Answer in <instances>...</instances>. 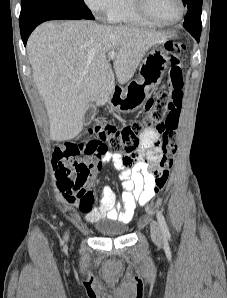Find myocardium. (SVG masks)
<instances>
[{
    "instance_id": "obj_1",
    "label": "myocardium",
    "mask_w": 227,
    "mask_h": 298,
    "mask_svg": "<svg viewBox=\"0 0 227 298\" xmlns=\"http://www.w3.org/2000/svg\"><path fill=\"white\" fill-rule=\"evenodd\" d=\"M132 1H133V7H134L135 11L138 13V15L140 17H142L143 19H145L146 21H148L151 24L156 25V26L165 27V26L175 25L182 19L183 15H184L183 0H177L178 6H179V13L175 19H173L169 22L160 21L151 15V13L149 12V9H148L147 0H132Z\"/></svg>"
}]
</instances>
